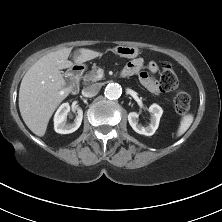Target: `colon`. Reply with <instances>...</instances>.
Returning a JSON list of instances; mask_svg holds the SVG:
<instances>
[{
    "label": "colon",
    "instance_id": "obj_1",
    "mask_svg": "<svg viewBox=\"0 0 222 222\" xmlns=\"http://www.w3.org/2000/svg\"><path fill=\"white\" fill-rule=\"evenodd\" d=\"M160 84L165 92L172 94L176 111L186 113L190 108V96L180 89L176 72L168 62L162 64Z\"/></svg>",
    "mask_w": 222,
    "mask_h": 222
}]
</instances>
